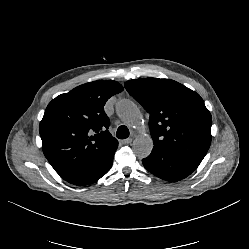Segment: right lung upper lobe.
<instances>
[{"label":"right lung upper lobe","mask_w":249,"mask_h":249,"mask_svg":"<svg viewBox=\"0 0 249 249\" xmlns=\"http://www.w3.org/2000/svg\"><path fill=\"white\" fill-rule=\"evenodd\" d=\"M123 91L116 81H94L61 94L40 122L42 149L55 171L67 179L87 169L118 141L108 131L106 101Z\"/></svg>","instance_id":"right-lung-upper-lobe-1"}]
</instances>
